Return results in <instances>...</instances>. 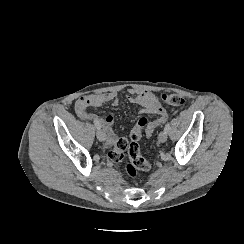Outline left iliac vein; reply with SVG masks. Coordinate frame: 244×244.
<instances>
[{
	"label": "left iliac vein",
	"instance_id": "1",
	"mask_svg": "<svg viewBox=\"0 0 244 244\" xmlns=\"http://www.w3.org/2000/svg\"><path fill=\"white\" fill-rule=\"evenodd\" d=\"M167 133L165 131H161L158 136V140L161 143H164L167 140Z\"/></svg>",
	"mask_w": 244,
	"mask_h": 244
}]
</instances>
